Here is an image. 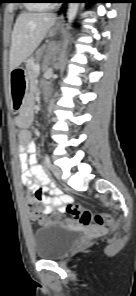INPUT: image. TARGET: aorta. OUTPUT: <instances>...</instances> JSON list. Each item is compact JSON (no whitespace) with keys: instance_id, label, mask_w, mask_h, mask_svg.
Instances as JSON below:
<instances>
[{"instance_id":"762f6f07","label":"aorta","mask_w":136,"mask_h":296,"mask_svg":"<svg viewBox=\"0 0 136 296\" xmlns=\"http://www.w3.org/2000/svg\"><path fill=\"white\" fill-rule=\"evenodd\" d=\"M79 3H69L67 11V28H70L77 14Z\"/></svg>"}]
</instances>
